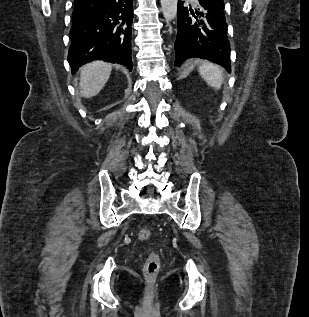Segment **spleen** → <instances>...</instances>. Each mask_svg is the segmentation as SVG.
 <instances>
[{"label":"spleen","instance_id":"1","mask_svg":"<svg viewBox=\"0 0 309 317\" xmlns=\"http://www.w3.org/2000/svg\"><path fill=\"white\" fill-rule=\"evenodd\" d=\"M199 73L208 85L216 90L221 88L223 73L217 65L205 62L199 67Z\"/></svg>","mask_w":309,"mask_h":317}]
</instances>
